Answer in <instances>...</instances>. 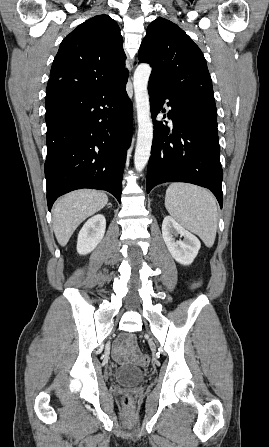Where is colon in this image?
<instances>
[{"mask_svg":"<svg viewBox=\"0 0 269 447\" xmlns=\"http://www.w3.org/2000/svg\"><path fill=\"white\" fill-rule=\"evenodd\" d=\"M199 285V282H193L191 284V289L197 287ZM139 365L142 367H147L150 363V357L148 355H141L138 359ZM123 403L125 405H130L132 403V397L129 394H126L123 398Z\"/></svg>","mask_w":269,"mask_h":447,"instance_id":"obj_1","label":"colon"}]
</instances>
